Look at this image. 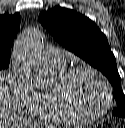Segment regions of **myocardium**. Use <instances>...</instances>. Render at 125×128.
<instances>
[{
  "instance_id": "1",
  "label": "myocardium",
  "mask_w": 125,
  "mask_h": 128,
  "mask_svg": "<svg viewBox=\"0 0 125 128\" xmlns=\"http://www.w3.org/2000/svg\"><path fill=\"white\" fill-rule=\"evenodd\" d=\"M84 71L90 72L97 76L104 87L106 103L104 108L96 114H84L80 112L72 104L68 96V87L70 83L73 81L77 74ZM54 95L61 109L65 111L69 117L81 123H90L103 118L110 111L113 102L111 86L106 77L99 70L88 65H79L66 71L60 77L56 86L54 87Z\"/></svg>"
}]
</instances>
